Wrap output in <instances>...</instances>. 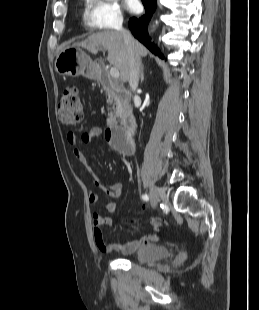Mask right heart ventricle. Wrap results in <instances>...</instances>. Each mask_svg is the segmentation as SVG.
Instances as JSON below:
<instances>
[{
    "mask_svg": "<svg viewBox=\"0 0 259 310\" xmlns=\"http://www.w3.org/2000/svg\"><path fill=\"white\" fill-rule=\"evenodd\" d=\"M84 23L86 26L90 27V28H93L95 27L91 22L90 20L88 19V15L86 14L85 17H84Z\"/></svg>",
    "mask_w": 259,
    "mask_h": 310,
    "instance_id": "obj_1",
    "label": "right heart ventricle"
}]
</instances>
